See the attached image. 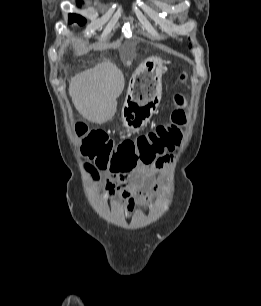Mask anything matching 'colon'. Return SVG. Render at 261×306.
<instances>
[{"instance_id": "obj_1", "label": "colon", "mask_w": 261, "mask_h": 306, "mask_svg": "<svg viewBox=\"0 0 261 306\" xmlns=\"http://www.w3.org/2000/svg\"><path fill=\"white\" fill-rule=\"evenodd\" d=\"M186 75H180L185 80ZM175 108L171 122L156 126L135 139L114 143L104 131L91 130L83 125L75 126L78 147L82 155L94 163L87 168L97 170L130 171L139 166H149L167 152L174 150L187 123L186 99L176 93L173 96Z\"/></svg>"}]
</instances>
